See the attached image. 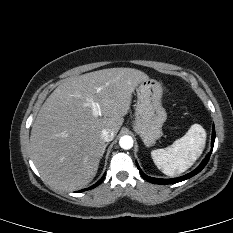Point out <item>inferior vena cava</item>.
Instances as JSON below:
<instances>
[{
	"label": "inferior vena cava",
	"instance_id": "obj_1",
	"mask_svg": "<svg viewBox=\"0 0 233 233\" xmlns=\"http://www.w3.org/2000/svg\"><path fill=\"white\" fill-rule=\"evenodd\" d=\"M101 138L105 142H109L114 138V133L110 129H103L101 131Z\"/></svg>",
	"mask_w": 233,
	"mask_h": 233
}]
</instances>
